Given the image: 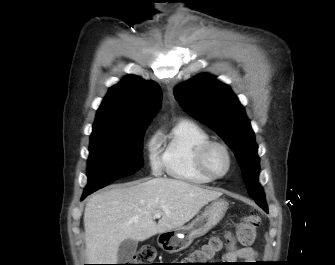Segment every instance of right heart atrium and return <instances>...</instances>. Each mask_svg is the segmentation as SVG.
I'll return each mask as SVG.
<instances>
[{
    "label": "right heart atrium",
    "instance_id": "d8ad5b80",
    "mask_svg": "<svg viewBox=\"0 0 335 265\" xmlns=\"http://www.w3.org/2000/svg\"><path fill=\"white\" fill-rule=\"evenodd\" d=\"M157 146H158L157 140L155 138H152L148 144V151H149L150 165L155 173L160 172L162 168V161L158 155Z\"/></svg>",
    "mask_w": 335,
    "mask_h": 265
}]
</instances>
